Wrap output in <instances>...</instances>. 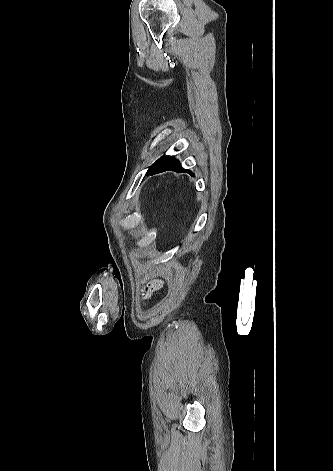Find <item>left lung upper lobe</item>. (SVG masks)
Here are the masks:
<instances>
[{"label":"left lung upper lobe","instance_id":"obj_1","mask_svg":"<svg viewBox=\"0 0 333 471\" xmlns=\"http://www.w3.org/2000/svg\"><path fill=\"white\" fill-rule=\"evenodd\" d=\"M171 159H172V156H170V155L162 156L152 166L149 167V169L147 170L146 175H154V174H157V173L168 171V164H169Z\"/></svg>","mask_w":333,"mask_h":471}]
</instances>
